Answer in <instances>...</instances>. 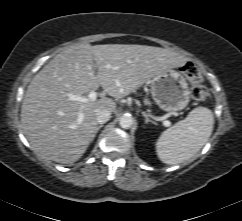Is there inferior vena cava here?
I'll list each match as a JSON object with an SVG mask.
<instances>
[{"mask_svg":"<svg viewBox=\"0 0 242 221\" xmlns=\"http://www.w3.org/2000/svg\"><path fill=\"white\" fill-rule=\"evenodd\" d=\"M111 117V111L108 109H97L96 119L100 124L106 123Z\"/></svg>","mask_w":242,"mask_h":221,"instance_id":"obj_1","label":"inferior vena cava"}]
</instances>
